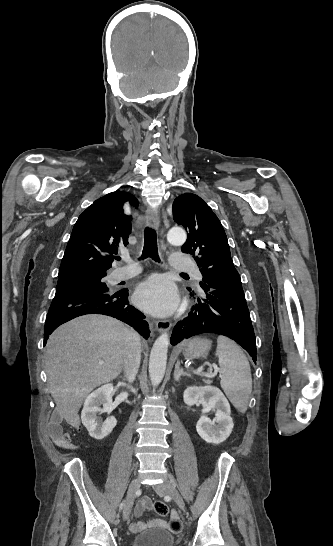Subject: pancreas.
Instances as JSON below:
<instances>
[{"label":"pancreas","instance_id":"pancreas-1","mask_svg":"<svg viewBox=\"0 0 333 546\" xmlns=\"http://www.w3.org/2000/svg\"><path fill=\"white\" fill-rule=\"evenodd\" d=\"M205 382L210 383V380H209V379H208V380H205Z\"/></svg>","mask_w":333,"mask_h":546}]
</instances>
